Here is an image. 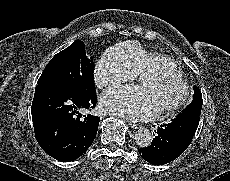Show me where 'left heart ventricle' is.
Instances as JSON below:
<instances>
[{
    "instance_id": "obj_1",
    "label": "left heart ventricle",
    "mask_w": 230,
    "mask_h": 181,
    "mask_svg": "<svg viewBox=\"0 0 230 181\" xmlns=\"http://www.w3.org/2000/svg\"><path fill=\"white\" fill-rule=\"evenodd\" d=\"M140 93L148 105L156 110L175 102L181 91L178 85L172 82L154 80L150 83L146 82L145 86L140 88Z\"/></svg>"
}]
</instances>
